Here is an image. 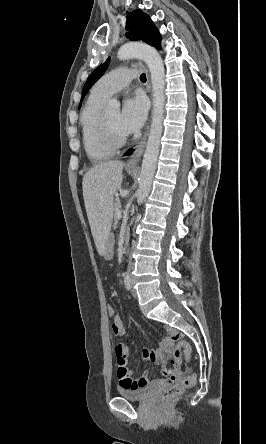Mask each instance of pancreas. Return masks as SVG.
<instances>
[{"label": "pancreas", "instance_id": "obj_1", "mask_svg": "<svg viewBox=\"0 0 266 444\" xmlns=\"http://www.w3.org/2000/svg\"><path fill=\"white\" fill-rule=\"evenodd\" d=\"M120 209V203L118 200L115 201L114 205H113V211H114V220L118 221V217H117V211Z\"/></svg>", "mask_w": 266, "mask_h": 444}]
</instances>
